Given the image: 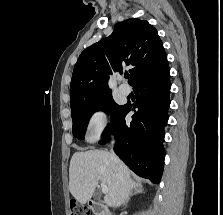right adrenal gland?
Masks as SVG:
<instances>
[{"label":"right adrenal gland","mask_w":223,"mask_h":215,"mask_svg":"<svg viewBox=\"0 0 223 215\" xmlns=\"http://www.w3.org/2000/svg\"><path fill=\"white\" fill-rule=\"evenodd\" d=\"M141 187H136V189H134V191H132V193H139ZM130 199V195H128V197H126V199H124L122 205H127L128 201Z\"/></svg>","instance_id":"obj_1"}]
</instances>
